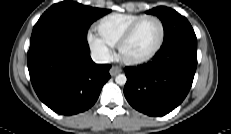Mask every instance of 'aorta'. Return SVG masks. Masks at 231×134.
Returning a JSON list of instances; mask_svg holds the SVG:
<instances>
[{"mask_svg": "<svg viewBox=\"0 0 231 134\" xmlns=\"http://www.w3.org/2000/svg\"><path fill=\"white\" fill-rule=\"evenodd\" d=\"M115 82L118 84V85H125L126 82H127V78L124 74H119L116 76L115 78Z\"/></svg>", "mask_w": 231, "mask_h": 134, "instance_id": "aorta-1", "label": "aorta"}]
</instances>
